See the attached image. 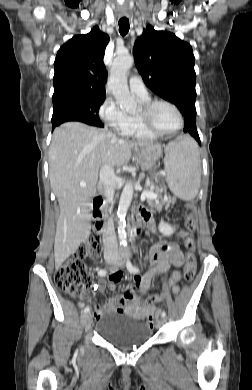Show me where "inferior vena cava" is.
Wrapping results in <instances>:
<instances>
[{
  "mask_svg": "<svg viewBox=\"0 0 252 390\" xmlns=\"http://www.w3.org/2000/svg\"><path fill=\"white\" fill-rule=\"evenodd\" d=\"M109 137H112V133H108ZM116 179L114 168L108 164H104L100 169V183L103 185V192L107 203L110 205L113 203L114 188L113 182ZM103 244L104 251L114 252L118 251V244L116 236L114 234V228L111 223L108 224L107 228L103 232Z\"/></svg>",
  "mask_w": 252,
  "mask_h": 390,
  "instance_id": "obj_1",
  "label": "inferior vena cava"
}]
</instances>
